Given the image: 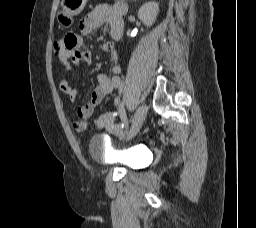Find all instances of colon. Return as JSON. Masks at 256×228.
Masks as SVG:
<instances>
[{"mask_svg":"<svg viewBox=\"0 0 256 228\" xmlns=\"http://www.w3.org/2000/svg\"><path fill=\"white\" fill-rule=\"evenodd\" d=\"M62 49V41H59L55 44V50L56 53L59 54V52ZM115 114L112 112L104 113L98 117L96 120V125L98 128H107L110 124L114 123Z\"/></svg>","mask_w":256,"mask_h":228,"instance_id":"obj_1","label":"colon"}]
</instances>
